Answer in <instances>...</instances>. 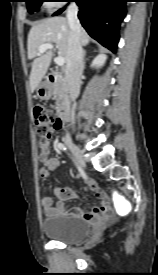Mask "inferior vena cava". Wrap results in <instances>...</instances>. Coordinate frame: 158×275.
Returning <instances> with one entry per match:
<instances>
[{
  "label": "inferior vena cava",
  "mask_w": 158,
  "mask_h": 275,
  "mask_svg": "<svg viewBox=\"0 0 158 275\" xmlns=\"http://www.w3.org/2000/svg\"><path fill=\"white\" fill-rule=\"evenodd\" d=\"M79 8L75 3L68 6L66 16L69 23V39L66 63V86L71 100L80 92V81L84 69L83 49L80 43L81 24L78 19Z\"/></svg>",
  "instance_id": "inferior-vena-cava-1"
}]
</instances>
